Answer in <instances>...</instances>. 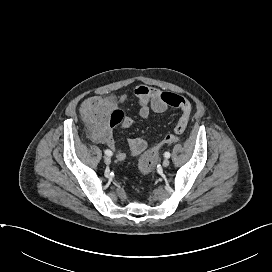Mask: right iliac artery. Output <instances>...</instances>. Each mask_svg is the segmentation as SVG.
I'll list each match as a JSON object with an SVG mask.
<instances>
[{"label": "right iliac artery", "mask_w": 272, "mask_h": 272, "mask_svg": "<svg viewBox=\"0 0 272 272\" xmlns=\"http://www.w3.org/2000/svg\"><path fill=\"white\" fill-rule=\"evenodd\" d=\"M104 153H105L107 156H112V155H113L112 151H110V150H108V149L105 150Z\"/></svg>", "instance_id": "82829eb1"}]
</instances>
